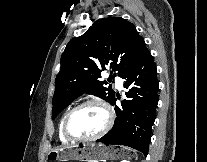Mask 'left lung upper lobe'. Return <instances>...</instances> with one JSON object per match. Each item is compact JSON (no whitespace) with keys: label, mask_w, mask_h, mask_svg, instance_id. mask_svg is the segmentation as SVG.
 I'll return each instance as SVG.
<instances>
[{"label":"left lung upper lobe","mask_w":207,"mask_h":162,"mask_svg":"<svg viewBox=\"0 0 207 162\" xmlns=\"http://www.w3.org/2000/svg\"><path fill=\"white\" fill-rule=\"evenodd\" d=\"M147 50L132 23L121 17L97 20L85 34L71 39L62 54L52 117L84 93L95 94L112 104L115 93L103 86L107 82L98 80L101 72L111 68L122 77ZM111 79L112 76L108 81Z\"/></svg>","instance_id":"5c2ea615"}]
</instances>
